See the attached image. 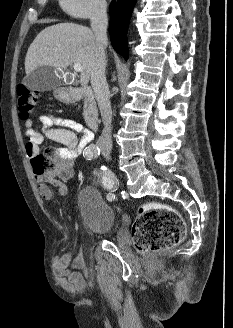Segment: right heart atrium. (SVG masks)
Segmentation results:
<instances>
[{
    "label": "right heart atrium",
    "instance_id": "d8ad5b80",
    "mask_svg": "<svg viewBox=\"0 0 233 328\" xmlns=\"http://www.w3.org/2000/svg\"><path fill=\"white\" fill-rule=\"evenodd\" d=\"M63 10L72 17L87 19L101 16L105 13V0H59Z\"/></svg>",
    "mask_w": 233,
    "mask_h": 328
}]
</instances>
